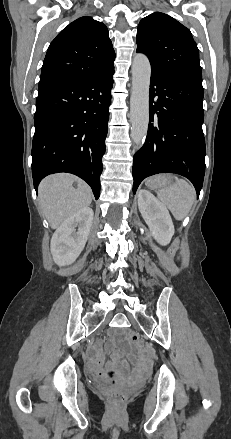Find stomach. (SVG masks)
Returning <instances> with one entry per match:
<instances>
[{
    "label": "stomach",
    "mask_w": 231,
    "mask_h": 439,
    "mask_svg": "<svg viewBox=\"0 0 231 439\" xmlns=\"http://www.w3.org/2000/svg\"><path fill=\"white\" fill-rule=\"evenodd\" d=\"M173 176L157 175L147 180V185L152 189L165 188L172 184Z\"/></svg>",
    "instance_id": "0dacf381"
}]
</instances>
